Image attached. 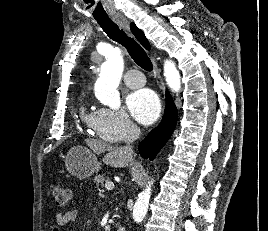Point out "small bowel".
I'll list each match as a JSON object with an SVG mask.
<instances>
[{
	"mask_svg": "<svg viewBox=\"0 0 268 231\" xmlns=\"http://www.w3.org/2000/svg\"><path fill=\"white\" fill-rule=\"evenodd\" d=\"M78 211L77 210H68L65 212H58L56 214V227L54 229V231H59L60 228L68 225V224H72L74 222L77 221L78 219Z\"/></svg>",
	"mask_w": 268,
	"mask_h": 231,
	"instance_id": "1",
	"label": "small bowel"
}]
</instances>
